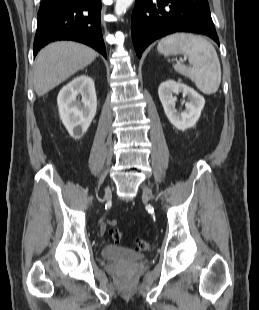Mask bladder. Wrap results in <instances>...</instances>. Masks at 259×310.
I'll return each instance as SVG.
<instances>
[{"mask_svg":"<svg viewBox=\"0 0 259 310\" xmlns=\"http://www.w3.org/2000/svg\"><path fill=\"white\" fill-rule=\"evenodd\" d=\"M101 256L107 261L133 262L144 259V255L131 249L117 245H107L102 248Z\"/></svg>","mask_w":259,"mask_h":310,"instance_id":"obj_1","label":"bladder"}]
</instances>
